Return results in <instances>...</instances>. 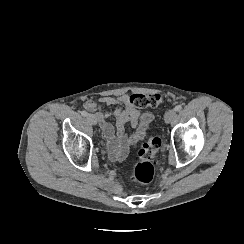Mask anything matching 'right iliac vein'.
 I'll list each match as a JSON object with an SVG mask.
<instances>
[{"label": "right iliac vein", "instance_id": "1", "mask_svg": "<svg viewBox=\"0 0 244 244\" xmlns=\"http://www.w3.org/2000/svg\"><path fill=\"white\" fill-rule=\"evenodd\" d=\"M87 119L89 120V122L92 124V125H96L97 124V118L95 115L93 114H88L87 115Z\"/></svg>", "mask_w": 244, "mask_h": 244}]
</instances>
